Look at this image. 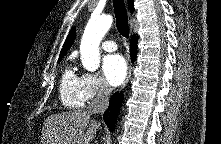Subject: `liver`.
<instances>
[{
    "instance_id": "6515ba94",
    "label": "liver",
    "mask_w": 221,
    "mask_h": 144,
    "mask_svg": "<svg viewBox=\"0 0 221 144\" xmlns=\"http://www.w3.org/2000/svg\"><path fill=\"white\" fill-rule=\"evenodd\" d=\"M101 124L87 110L50 115L42 128V144H90Z\"/></svg>"
}]
</instances>
